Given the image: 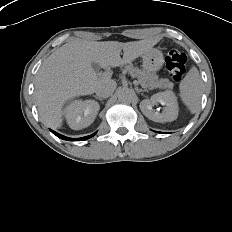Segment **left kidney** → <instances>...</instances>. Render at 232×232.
<instances>
[{"mask_svg": "<svg viewBox=\"0 0 232 232\" xmlns=\"http://www.w3.org/2000/svg\"><path fill=\"white\" fill-rule=\"evenodd\" d=\"M157 103L164 105L161 113L155 111L153 106ZM142 113L154 122L164 123L177 119L179 107L175 94L172 91L159 92L140 103Z\"/></svg>", "mask_w": 232, "mask_h": 232, "instance_id": "left-kidney-1", "label": "left kidney"}]
</instances>
